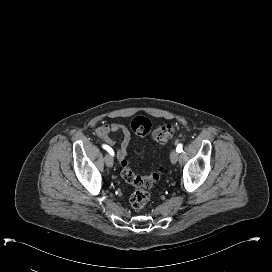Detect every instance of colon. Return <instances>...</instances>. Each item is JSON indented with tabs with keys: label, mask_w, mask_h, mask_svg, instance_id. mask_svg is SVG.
Returning a JSON list of instances; mask_svg holds the SVG:
<instances>
[{
	"label": "colon",
	"mask_w": 272,
	"mask_h": 272,
	"mask_svg": "<svg viewBox=\"0 0 272 272\" xmlns=\"http://www.w3.org/2000/svg\"><path fill=\"white\" fill-rule=\"evenodd\" d=\"M131 129L138 136H145L152 131V138L159 143H165L170 140L174 133L175 127L170 123L157 125L152 129L150 119L138 116L131 121ZM161 171H154L147 175H136L126 159L121 161V175L129 183L138 187L130 197V204L135 210H143L150 199L149 193L144 188L152 187L160 179Z\"/></svg>",
	"instance_id": "obj_1"
}]
</instances>
